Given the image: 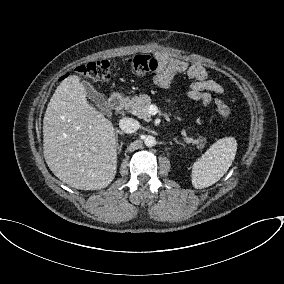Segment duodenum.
Listing matches in <instances>:
<instances>
[{
	"mask_svg": "<svg viewBox=\"0 0 284 284\" xmlns=\"http://www.w3.org/2000/svg\"><path fill=\"white\" fill-rule=\"evenodd\" d=\"M109 105L115 112H120L125 105V97L120 92H114L109 98Z\"/></svg>",
	"mask_w": 284,
	"mask_h": 284,
	"instance_id": "1",
	"label": "duodenum"
}]
</instances>
